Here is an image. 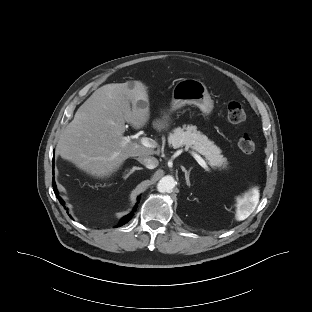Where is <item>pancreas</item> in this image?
<instances>
[{"label": "pancreas", "instance_id": "cf45deb5", "mask_svg": "<svg viewBox=\"0 0 312 312\" xmlns=\"http://www.w3.org/2000/svg\"><path fill=\"white\" fill-rule=\"evenodd\" d=\"M168 143L173 148H180L185 146L186 148H192L205 156L208 163L213 168L219 170L228 168V161L221 154L220 148H218L213 141L209 140L204 134L197 131L195 126H187L184 128H176L173 133H170L168 137Z\"/></svg>", "mask_w": 312, "mask_h": 312}]
</instances>
